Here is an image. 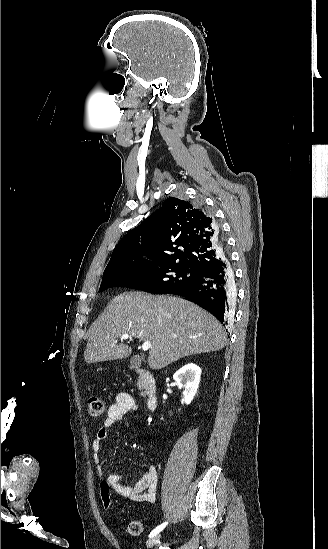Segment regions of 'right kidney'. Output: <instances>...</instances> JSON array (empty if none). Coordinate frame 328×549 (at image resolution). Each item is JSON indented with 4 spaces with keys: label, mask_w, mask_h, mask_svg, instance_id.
<instances>
[{
    "label": "right kidney",
    "mask_w": 328,
    "mask_h": 549,
    "mask_svg": "<svg viewBox=\"0 0 328 549\" xmlns=\"http://www.w3.org/2000/svg\"><path fill=\"white\" fill-rule=\"evenodd\" d=\"M200 375L201 369L200 367H197V365H194V363L184 365L182 369H179V371H176L173 375L177 387H179V389H184L182 395L186 405H190L197 393Z\"/></svg>",
    "instance_id": "1"
}]
</instances>
